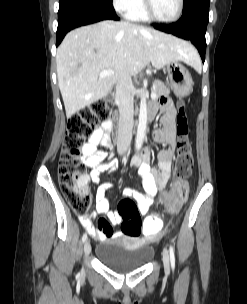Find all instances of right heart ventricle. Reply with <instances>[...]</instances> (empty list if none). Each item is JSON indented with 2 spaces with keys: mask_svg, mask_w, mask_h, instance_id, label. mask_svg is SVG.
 <instances>
[{
  "mask_svg": "<svg viewBox=\"0 0 247 304\" xmlns=\"http://www.w3.org/2000/svg\"><path fill=\"white\" fill-rule=\"evenodd\" d=\"M126 17L132 21L144 22L148 20L145 14L142 0L140 3L126 13Z\"/></svg>",
  "mask_w": 247,
  "mask_h": 304,
  "instance_id": "e07e8e85",
  "label": "right heart ventricle"
}]
</instances>
